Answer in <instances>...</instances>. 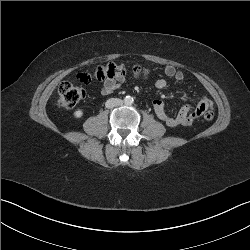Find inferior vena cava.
Listing matches in <instances>:
<instances>
[{"instance_id": "602c4592", "label": "inferior vena cava", "mask_w": 250, "mask_h": 250, "mask_svg": "<svg viewBox=\"0 0 250 250\" xmlns=\"http://www.w3.org/2000/svg\"><path fill=\"white\" fill-rule=\"evenodd\" d=\"M123 104V101L119 98H111L106 101L105 106L107 108H114Z\"/></svg>"}]
</instances>
